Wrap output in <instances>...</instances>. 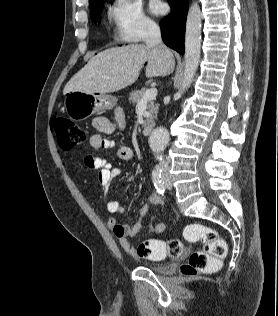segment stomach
Returning <instances> with one entry per match:
<instances>
[{"label":"stomach","instance_id":"stomach-1","mask_svg":"<svg viewBox=\"0 0 278 316\" xmlns=\"http://www.w3.org/2000/svg\"><path fill=\"white\" fill-rule=\"evenodd\" d=\"M117 104V99L108 94H87L83 92L67 93L64 108L67 115L76 121L84 120L101 110H110Z\"/></svg>","mask_w":278,"mask_h":316}]
</instances>
